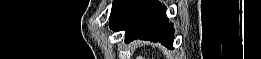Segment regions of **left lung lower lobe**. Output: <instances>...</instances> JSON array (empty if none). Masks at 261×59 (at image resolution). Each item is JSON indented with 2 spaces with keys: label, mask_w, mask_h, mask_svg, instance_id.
Listing matches in <instances>:
<instances>
[{
  "label": "left lung lower lobe",
  "mask_w": 261,
  "mask_h": 59,
  "mask_svg": "<svg viewBox=\"0 0 261 59\" xmlns=\"http://www.w3.org/2000/svg\"><path fill=\"white\" fill-rule=\"evenodd\" d=\"M110 27L114 31L125 30L126 42L149 40L173 48L174 28L158 1L120 0L112 10Z\"/></svg>",
  "instance_id": "left-lung-lower-lobe-1"
}]
</instances>
